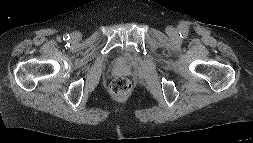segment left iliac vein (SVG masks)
I'll list each match as a JSON object with an SVG mask.
<instances>
[{
	"label": "left iliac vein",
	"instance_id": "obj_1",
	"mask_svg": "<svg viewBox=\"0 0 253 143\" xmlns=\"http://www.w3.org/2000/svg\"><path fill=\"white\" fill-rule=\"evenodd\" d=\"M169 34H170L171 37H176V33L174 31H172V30L170 31Z\"/></svg>",
	"mask_w": 253,
	"mask_h": 143
}]
</instances>
